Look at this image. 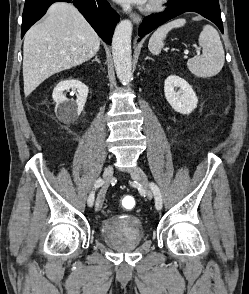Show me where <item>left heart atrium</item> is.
Returning a JSON list of instances; mask_svg holds the SVG:
<instances>
[{
  "label": "left heart atrium",
  "instance_id": "obj_1",
  "mask_svg": "<svg viewBox=\"0 0 249 294\" xmlns=\"http://www.w3.org/2000/svg\"><path fill=\"white\" fill-rule=\"evenodd\" d=\"M122 4H136V5H142L145 4L148 0H116Z\"/></svg>",
  "mask_w": 249,
  "mask_h": 294
}]
</instances>
